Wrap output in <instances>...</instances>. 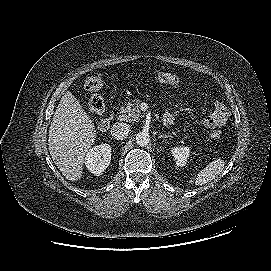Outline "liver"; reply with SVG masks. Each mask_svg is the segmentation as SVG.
I'll return each instance as SVG.
<instances>
[{"mask_svg": "<svg viewBox=\"0 0 271 271\" xmlns=\"http://www.w3.org/2000/svg\"><path fill=\"white\" fill-rule=\"evenodd\" d=\"M95 137L90 116L70 91L65 92L50 124L48 146L55 165L66 179L80 180L85 156Z\"/></svg>", "mask_w": 271, "mask_h": 271, "instance_id": "6515ba94", "label": "liver"}]
</instances>
